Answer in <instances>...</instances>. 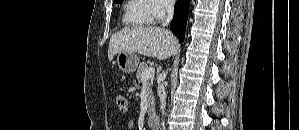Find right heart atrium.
I'll return each instance as SVG.
<instances>
[{"label":"right heart atrium","mask_w":299,"mask_h":130,"mask_svg":"<svg viewBox=\"0 0 299 130\" xmlns=\"http://www.w3.org/2000/svg\"><path fill=\"white\" fill-rule=\"evenodd\" d=\"M151 4L152 21L162 20L173 9V1L170 0H148Z\"/></svg>","instance_id":"obj_1"}]
</instances>
